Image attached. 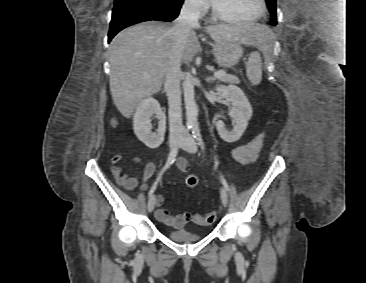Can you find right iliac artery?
<instances>
[{
    "instance_id": "82829eb1",
    "label": "right iliac artery",
    "mask_w": 366,
    "mask_h": 283,
    "mask_svg": "<svg viewBox=\"0 0 366 283\" xmlns=\"http://www.w3.org/2000/svg\"><path fill=\"white\" fill-rule=\"evenodd\" d=\"M191 127L189 126L188 128H187V130H189ZM177 152H178V147H176V148H174L171 152H170V154H169V156H168V160H167V162H166V164H165V166H164V168H163V170H162V172L160 173V176L162 175V173L166 170V169H168L169 167H170V165L171 164H173V162L175 161V157H176V155H177ZM159 176V177H160ZM159 179V178H158ZM156 185H157V181L154 183V185L151 187V189H150V191H149V197L150 196H152V194L154 193V191H155V189H156Z\"/></svg>"
}]
</instances>
